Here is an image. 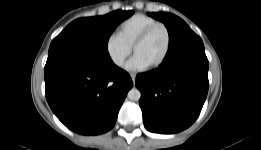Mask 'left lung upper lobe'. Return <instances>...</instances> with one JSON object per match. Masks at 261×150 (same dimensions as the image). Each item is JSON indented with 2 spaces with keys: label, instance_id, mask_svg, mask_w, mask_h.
<instances>
[{
  "label": "left lung upper lobe",
  "instance_id": "obj_1",
  "mask_svg": "<svg viewBox=\"0 0 261 150\" xmlns=\"http://www.w3.org/2000/svg\"><path fill=\"white\" fill-rule=\"evenodd\" d=\"M148 15L164 23L169 33L170 46L174 44L183 34L192 31L181 18L175 16L174 14L159 12L148 13Z\"/></svg>",
  "mask_w": 261,
  "mask_h": 150
}]
</instances>
